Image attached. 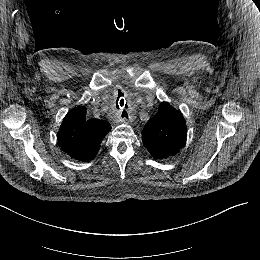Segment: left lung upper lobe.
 Masks as SVG:
<instances>
[{"instance_id":"obj_1","label":"left lung upper lobe","mask_w":260,"mask_h":260,"mask_svg":"<svg viewBox=\"0 0 260 260\" xmlns=\"http://www.w3.org/2000/svg\"><path fill=\"white\" fill-rule=\"evenodd\" d=\"M187 128L183 115L167 102L145 125L142 142L155 159H168L179 153L186 140Z\"/></svg>"}]
</instances>
